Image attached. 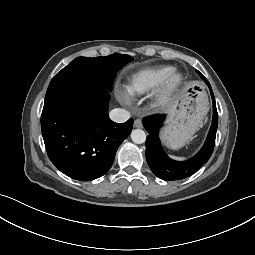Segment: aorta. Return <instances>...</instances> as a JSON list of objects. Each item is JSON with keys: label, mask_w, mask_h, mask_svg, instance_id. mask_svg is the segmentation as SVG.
<instances>
[{"label": "aorta", "mask_w": 255, "mask_h": 255, "mask_svg": "<svg viewBox=\"0 0 255 255\" xmlns=\"http://www.w3.org/2000/svg\"><path fill=\"white\" fill-rule=\"evenodd\" d=\"M131 139L136 144H142L146 141V133L141 129H135L131 132Z\"/></svg>", "instance_id": "obj_1"}]
</instances>
